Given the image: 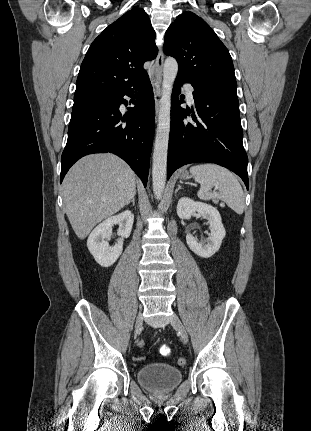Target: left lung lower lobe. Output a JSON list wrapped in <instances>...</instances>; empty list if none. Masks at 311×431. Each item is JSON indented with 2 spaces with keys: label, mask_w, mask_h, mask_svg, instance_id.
I'll return each mask as SVG.
<instances>
[{
  "label": "left lung lower lobe",
  "mask_w": 311,
  "mask_h": 431,
  "mask_svg": "<svg viewBox=\"0 0 311 431\" xmlns=\"http://www.w3.org/2000/svg\"><path fill=\"white\" fill-rule=\"evenodd\" d=\"M182 82L193 88L195 112L179 105ZM197 115V116H196ZM243 131L235 90L202 88L177 76L171 106V128L168 147L167 178L179 167L194 162H211L239 175L249 189L248 157L242 143Z\"/></svg>",
  "instance_id": "left-lung-lower-lobe-1"
}]
</instances>
